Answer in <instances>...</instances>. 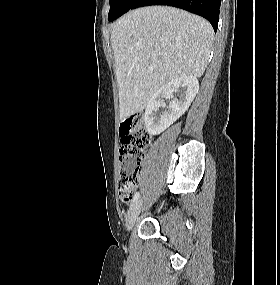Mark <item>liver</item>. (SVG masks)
Wrapping results in <instances>:
<instances>
[{
    "label": "liver",
    "mask_w": 280,
    "mask_h": 285,
    "mask_svg": "<svg viewBox=\"0 0 280 285\" xmlns=\"http://www.w3.org/2000/svg\"><path fill=\"white\" fill-rule=\"evenodd\" d=\"M213 37L208 21L172 7H144L122 16L111 33L120 118L141 112L170 81L201 77Z\"/></svg>",
    "instance_id": "liver-1"
}]
</instances>
